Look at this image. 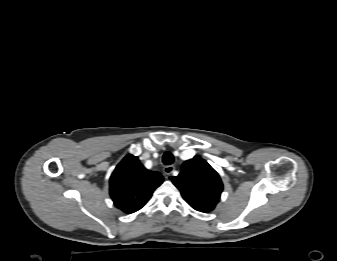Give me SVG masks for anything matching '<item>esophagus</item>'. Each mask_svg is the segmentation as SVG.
Instances as JSON below:
<instances>
[{"label": "esophagus", "mask_w": 337, "mask_h": 261, "mask_svg": "<svg viewBox=\"0 0 337 261\" xmlns=\"http://www.w3.org/2000/svg\"><path fill=\"white\" fill-rule=\"evenodd\" d=\"M175 170L173 165H168L163 168V172L165 175H170Z\"/></svg>", "instance_id": "34e87169"}]
</instances>
